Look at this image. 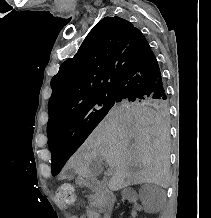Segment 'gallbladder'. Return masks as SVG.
<instances>
[{
	"mask_svg": "<svg viewBox=\"0 0 211 218\" xmlns=\"http://www.w3.org/2000/svg\"><path fill=\"white\" fill-rule=\"evenodd\" d=\"M104 167L102 166L100 160H92L89 164V172L91 176L103 175Z\"/></svg>",
	"mask_w": 211,
	"mask_h": 218,
	"instance_id": "obj_1",
	"label": "gallbladder"
}]
</instances>
